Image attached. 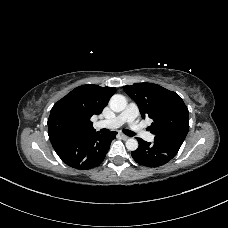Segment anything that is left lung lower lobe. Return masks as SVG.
I'll list each match as a JSON object with an SVG mask.
<instances>
[{"label": "left lung lower lobe", "mask_w": 228, "mask_h": 228, "mask_svg": "<svg viewBox=\"0 0 228 228\" xmlns=\"http://www.w3.org/2000/svg\"><path fill=\"white\" fill-rule=\"evenodd\" d=\"M138 142V149L131 155L138 164L147 167H158L168 163L183 143L175 138H155L153 144L139 138Z\"/></svg>", "instance_id": "obj_1"}]
</instances>
